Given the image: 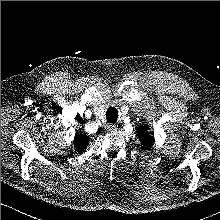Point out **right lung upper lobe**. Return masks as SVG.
Listing matches in <instances>:
<instances>
[{"mask_svg": "<svg viewBox=\"0 0 220 220\" xmlns=\"http://www.w3.org/2000/svg\"><path fill=\"white\" fill-rule=\"evenodd\" d=\"M89 137L86 134L76 133L74 137V146L76 151L81 154L88 146Z\"/></svg>", "mask_w": 220, "mask_h": 220, "instance_id": "cb5924a9", "label": "right lung upper lobe"}]
</instances>
